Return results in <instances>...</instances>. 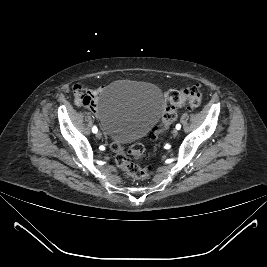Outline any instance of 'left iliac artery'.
<instances>
[{
    "label": "left iliac artery",
    "mask_w": 267,
    "mask_h": 267,
    "mask_svg": "<svg viewBox=\"0 0 267 267\" xmlns=\"http://www.w3.org/2000/svg\"><path fill=\"white\" fill-rule=\"evenodd\" d=\"M181 128V125L180 124H177L176 125V129L179 130Z\"/></svg>",
    "instance_id": "obj_1"
}]
</instances>
